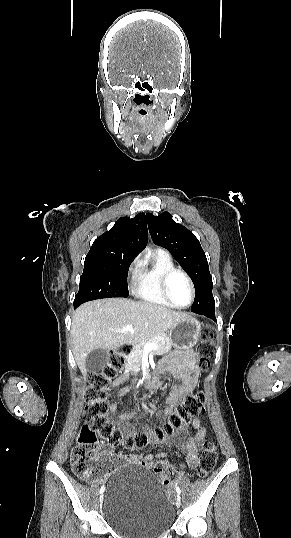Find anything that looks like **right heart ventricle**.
I'll return each mask as SVG.
<instances>
[{
    "label": "right heart ventricle",
    "mask_w": 291,
    "mask_h": 538,
    "mask_svg": "<svg viewBox=\"0 0 291 538\" xmlns=\"http://www.w3.org/2000/svg\"><path fill=\"white\" fill-rule=\"evenodd\" d=\"M175 268L171 255L163 249H156L148 254L146 261L141 263L135 281V294L145 302L172 307L164 298L161 290L163 274Z\"/></svg>",
    "instance_id": "1"
}]
</instances>
